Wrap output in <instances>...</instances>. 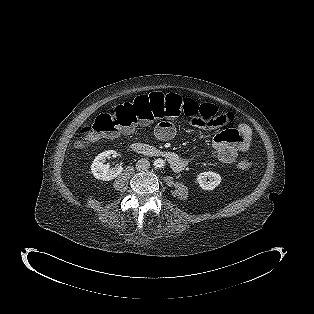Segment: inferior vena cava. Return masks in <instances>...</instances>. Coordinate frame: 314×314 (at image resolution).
Masks as SVG:
<instances>
[{
    "label": "inferior vena cava",
    "mask_w": 314,
    "mask_h": 314,
    "mask_svg": "<svg viewBox=\"0 0 314 314\" xmlns=\"http://www.w3.org/2000/svg\"><path fill=\"white\" fill-rule=\"evenodd\" d=\"M149 167H150V162L145 158L138 160V162L136 163V169L138 171L147 170L149 169Z\"/></svg>",
    "instance_id": "602c4592"
}]
</instances>
